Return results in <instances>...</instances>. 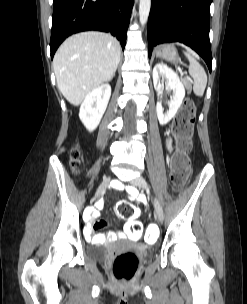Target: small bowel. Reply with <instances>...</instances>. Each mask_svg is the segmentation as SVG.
I'll return each mask as SVG.
<instances>
[{"instance_id": "obj_1", "label": "small bowel", "mask_w": 247, "mask_h": 304, "mask_svg": "<svg viewBox=\"0 0 247 304\" xmlns=\"http://www.w3.org/2000/svg\"><path fill=\"white\" fill-rule=\"evenodd\" d=\"M167 147L170 151H172V140L171 138H167ZM127 194L132 199H137L140 203L146 205V198L144 195L139 194L138 191L133 187H128L126 189ZM104 221L97 220V215L92 213L91 222L85 229L86 238L93 243H104V242H113L117 239L125 238L128 234L126 233L127 225L123 232L114 233L109 232L107 234H98L95 233L96 230L101 229L105 226Z\"/></svg>"}]
</instances>
